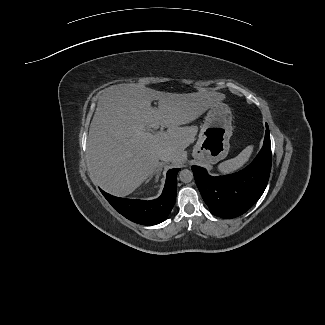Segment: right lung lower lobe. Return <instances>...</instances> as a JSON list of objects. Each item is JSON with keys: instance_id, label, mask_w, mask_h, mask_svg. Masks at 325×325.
<instances>
[{"instance_id": "98d812e1", "label": "right lung lower lobe", "mask_w": 325, "mask_h": 325, "mask_svg": "<svg viewBox=\"0 0 325 325\" xmlns=\"http://www.w3.org/2000/svg\"><path fill=\"white\" fill-rule=\"evenodd\" d=\"M178 171L180 169L176 168L167 172L162 195L150 201L119 198L100 190L112 207L127 219L142 225H155L168 217L175 204Z\"/></svg>"}]
</instances>
